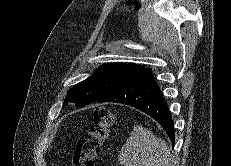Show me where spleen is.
Instances as JSON below:
<instances>
[{"label":"spleen","mask_w":231,"mask_h":166,"mask_svg":"<svg viewBox=\"0 0 231 166\" xmlns=\"http://www.w3.org/2000/svg\"><path fill=\"white\" fill-rule=\"evenodd\" d=\"M118 162L123 166H173V157L163 139L136 125L119 152Z\"/></svg>","instance_id":"spleen-1"}]
</instances>
